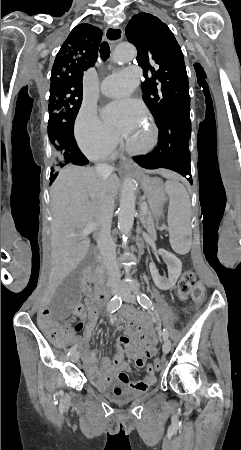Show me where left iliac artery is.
I'll use <instances>...</instances> for the list:
<instances>
[{
    "instance_id": "1",
    "label": "left iliac artery",
    "mask_w": 241,
    "mask_h": 450,
    "mask_svg": "<svg viewBox=\"0 0 241 450\" xmlns=\"http://www.w3.org/2000/svg\"><path fill=\"white\" fill-rule=\"evenodd\" d=\"M137 300L138 303L145 309H152L153 310V306H152V302L150 300V298L142 292H138L137 293ZM163 339L164 341L168 339V331L166 329H163Z\"/></svg>"
}]
</instances>
